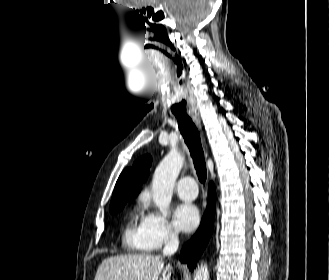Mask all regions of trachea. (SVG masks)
Returning a JSON list of instances; mask_svg holds the SVG:
<instances>
[{"label":"trachea","mask_w":329,"mask_h":280,"mask_svg":"<svg viewBox=\"0 0 329 280\" xmlns=\"http://www.w3.org/2000/svg\"><path fill=\"white\" fill-rule=\"evenodd\" d=\"M174 115L178 121L179 130L189 148L198 179L201 183H205L207 170L198 129L186 113Z\"/></svg>","instance_id":"trachea-1"}]
</instances>
